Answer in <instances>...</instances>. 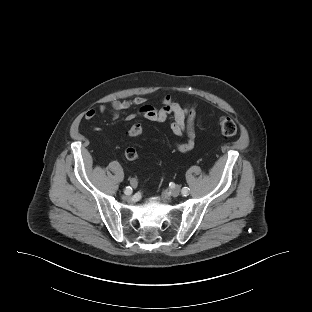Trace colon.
<instances>
[{
  "mask_svg": "<svg viewBox=\"0 0 312 312\" xmlns=\"http://www.w3.org/2000/svg\"><path fill=\"white\" fill-rule=\"evenodd\" d=\"M219 128L224 136L231 137L237 133V125L232 118L222 117L219 119ZM143 132V127L140 123H134L128 130L129 136H139ZM125 157L128 160H135L138 157V152L134 147H128L125 150Z\"/></svg>",
  "mask_w": 312,
  "mask_h": 312,
  "instance_id": "1",
  "label": "colon"
}]
</instances>
